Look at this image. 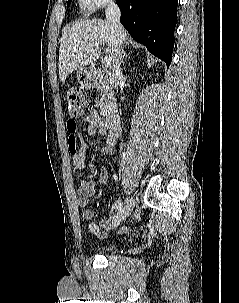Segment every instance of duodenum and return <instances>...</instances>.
<instances>
[{"instance_id": "410a0bca", "label": "duodenum", "mask_w": 239, "mask_h": 303, "mask_svg": "<svg viewBox=\"0 0 239 303\" xmlns=\"http://www.w3.org/2000/svg\"><path fill=\"white\" fill-rule=\"evenodd\" d=\"M106 78H108L111 81L114 80V76L112 74H108ZM103 126L110 137L112 138L117 137L121 131L120 116L116 112L109 113L105 118Z\"/></svg>"}]
</instances>
